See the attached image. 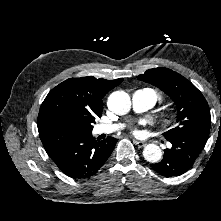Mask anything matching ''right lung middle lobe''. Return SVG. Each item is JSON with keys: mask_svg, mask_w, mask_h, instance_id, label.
<instances>
[{"mask_svg": "<svg viewBox=\"0 0 221 221\" xmlns=\"http://www.w3.org/2000/svg\"><path fill=\"white\" fill-rule=\"evenodd\" d=\"M93 123H95V121L91 119L75 118V119H70V120H66L62 122L60 126L70 128L74 131L81 132V133H91L93 129V126H92Z\"/></svg>", "mask_w": 221, "mask_h": 221, "instance_id": "right-lung-middle-lobe-1", "label": "right lung middle lobe"}]
</instances>
